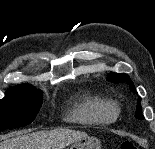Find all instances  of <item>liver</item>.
<instances>
[{
  "mask_svg": "<svg viewBox=\"0 0 155 149\" xmlns=\"http://www.w3.org/2000/svg\"><path fill=\"white\" fill-rule=\"evenodd\" d=\"M87 136L85 132L58 128L17 135L0 142V149H64Z\"/></svg>",
  "mask_w": 155,
  "mask_h": 149,
  "instance_id": "6515ba94",
  "label": "liver"
}]
</instances>
